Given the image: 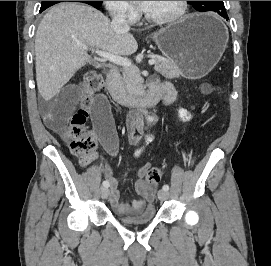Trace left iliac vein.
<instances>
[{
  "mask_svg": "<svg viewBox=\"0 0 271 266\" xmlns=\"http://www.w3.org/2000/svg\"><path fill=\"white\" fill-rule=\"evenodd\" d=\"M168 197H169L168 191L159 190V192H158V198H159V200L165 201V200L168 199Z\"/></svg>",
  "mask_w": 271,
  "mask_h": 266,
  "instance_id": "obj_1",
  "label": "left iliac vein"
}]
</instances>
